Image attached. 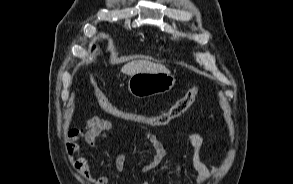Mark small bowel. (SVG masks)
Returning a JSON list of instances; mask_svg holds the SVG:
<instances>
[{
	"label": "small bowel",
	"instance_id": "small-bowel-1",
	"mask_svg": "<svg viewBox=\"0 0 293 184\" xmlns=\"http://www.w3.org/2000/svg\"><path fill=\"white\" fill-rule=\"evenodd\" d=\"M112 123L100 116H94L88 119L81 127L70 129L66 135V149L69 155V160L77 171L78 175L91 184H108L110 176L103 175L97 179H91V166L83 153L81 142L94 147L101 141H109L116 143V140L109 134L112 129ZM147 141L154 150L153 158L142 167L143 173H149L155 170L163 159L166 157V150L163 144L158 139L157 135L148 129L146 125L140 126ZM204 136L200 132H192L188 137L189 145L191 147V161L192 166L196 172V176L191 184H201L210 179L217 171L216 168L209 169L201 160L200 149L203 144ZM127 155L124 151L119 149V153L115 160V169L117 172H122L125 168ZM183 176V169L180 164L175 165L176 184H181ZM137 184H149L148 181L143 180Z\"/></svg>",
	"mask_w": 293,
	"mask_h": 184
}]
</instances>
